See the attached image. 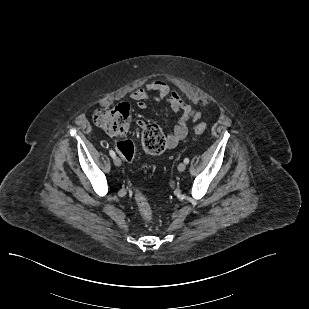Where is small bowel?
I'll return each mask as SVG.
<instances>
[{"instance_id":"obj_1","label":"small bowel","mask_w":309,"mask_h":309,"mask_svg":"<svg viewBox=\"0 0 309 309\" xmlns=\"http://www.w3.org/2000/svg\"><path fill=\"white\" fill-rule=\"evenodd\" d=\"M130 97L136 102L139 109H146L147 102L150 100L164 101L174 112L180 115L173 132L167 136L166 145L168 148L177 146L187 136L189 124L200 117L198 111L194 110L175 89L162 80L148 82L143 87L132 91ZM139 124L144 125L145 123L140 121Z\"/></svg>"}]
</instances>
